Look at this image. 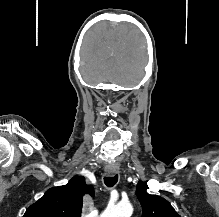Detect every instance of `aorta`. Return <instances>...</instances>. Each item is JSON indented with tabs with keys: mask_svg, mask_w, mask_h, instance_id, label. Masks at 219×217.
Returning <instances> with one entry per match:
<instances>
[{
	"mask_svg": "<svg viewBox=\"0 0 219 217\" xmlns=\"http://www.w3.org/2000/svg\"><path fill=\"white\" fill-rule=\"evenodd\" d=\"M133 207L130 203H119L114 207H108L101 217H131Z\"/></svg>",
	"mask_w": 219,
	"mask_h": 217,
	"instance_id": "1",
	"label": "aorta"
}]
</instances>
